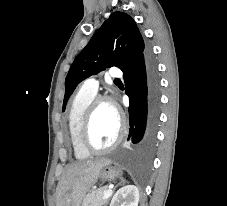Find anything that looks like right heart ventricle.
Returning <instances> with one entry per match:
<instances>
[{
	"label": "right heart ventricle",
	"instance_id": "right-heart-ventricle-1",
	"mask_svg": "<svg viewBox=\"0 0 227 206\" xmlns=\"http://www.w3.org/2000/svg\"><path fill=\"white\" fill-rule=\"evenodd\" d=\"M96 94L79 90L72 99L67 113V130L73 155L78 160H84L90 156L79 142V129L83 114L89 103L95 98Z\"/></svg>",
	"mask_w": 227,
	"mask_h": 206
}]
</instances>
